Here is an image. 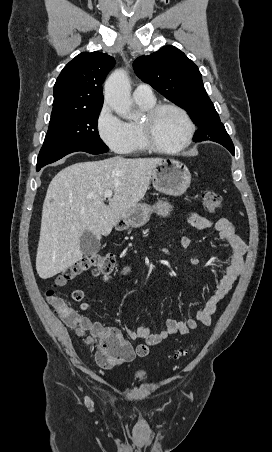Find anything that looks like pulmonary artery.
<instances>
[{"label":"pulmonary artery","mask_w":272,"mask_h":452,"mask_svg":"<svg viewBox=\"0 0 272 452\" xmlns=\"http://www.w3.org/2000/svg\"><path fill=\"white\" fill-rule=\"evenodd\" d=\"M133 96L135 100L141 101H154L155 96L153 93V89L150 85L141 83L136 86Z\"/></svg>","instance_id":"pulmonary-artery-1"}]
</instances>
